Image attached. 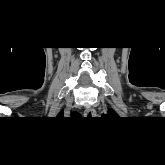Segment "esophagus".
Returning a JSON list of instances; mask_svg holds the SVG:
<instances>
[{
    "mask_svg": "<svg viewBox=\"0 0 165 165\" xmlns=\"http://www.w3.org/2000/svg\"><path fill=\"white\" fill-rule=\"evenodd\" d=\"M84 115L85 117H94L96 115V111L93 109V108H87L85 111H84Z\"/></svg>",
    "mask_w": 165,
    "mask_h": 165,
    "instance_id": "esophagus-1",
    "label": "esophagus"
}]
</instances>
